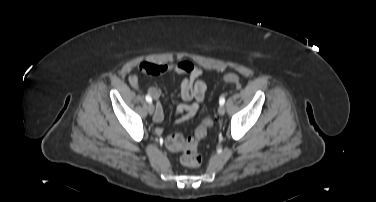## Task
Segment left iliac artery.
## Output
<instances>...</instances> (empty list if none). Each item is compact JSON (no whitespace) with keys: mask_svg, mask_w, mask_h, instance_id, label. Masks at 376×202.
Masks as SVG:
<instances>
[{"mask_svg":"<svg viewBox=\"0 0 376 202\" xmlns=\"http://www.w3.org/2000/svg\"><path fill=\"white\" fill-rule=\"evenodd\" d=\"M224 103H225V98H224V97H221V98L219 99V104H220V105H224Z\"/></svg>","mask_w":376,"mask_h":202,"instance_id":"left-iliac-artery-1","label":"left iliac artery"}]
</instances>
